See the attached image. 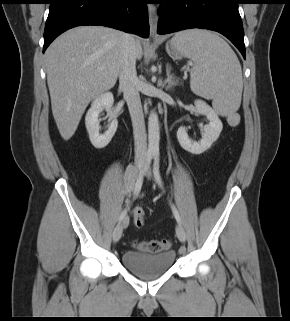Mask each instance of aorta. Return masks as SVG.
I'll list each match as a JSON object with an SVG mask.
<instances>
[{"mask_svg":"<svg viewBox=\"0 0 290 321\" xmlns=\"http://www.w3.org/2000/svg\"><path fill=\"white\" fill-rule=\"evenodd\" d=\"M148 141L150 150H159L160 129L158 115L155 112H151L148 118Z\"/></svg>","mask_w":290,"mask_h":321,"instance_id":"obj_1","label":"aorta"}]
</instances>
